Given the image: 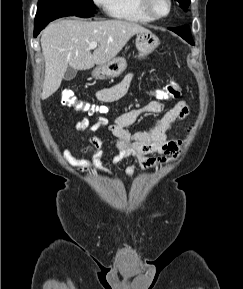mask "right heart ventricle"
<instances>
[{
  "instance_id": "obj_1",
  "label": "right heart ventricle",
  "mask_w": 243,
  "mask_h": 289,
  "mask_svg": "<svg viewBox=\"0 0 243 289\" xmlns=\"http://www.w3.org/2000/svg\"><path fill=\"white\" fill-rule=\"evenodd\" d=\"M109 14L116 19L138 23L153 21L141 9L139 0H111Z\"/></svg>"
}]
</instances>
